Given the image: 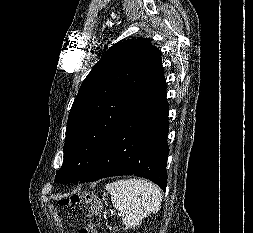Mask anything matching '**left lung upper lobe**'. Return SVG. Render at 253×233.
Returning <instances> with one entry per match:
<instances>
[{
	"label": "left lung upper lobe",
	"instance_id": "left-lung-upper-lobe-1",
	"mask_svg": "<svg viewBox=\"0 0 253 233\" xmlns=\"http://www.w3.org/2000/svg\"><path fill=\"white\" fill-rule=\"evenodd\" d=\"M163 74L160 51L148 38L128 39L110 48L87 75L73 102L63 165L55 182L83 178L121 119Z\"/></svg>",
	"mask_w": 253,
	"mask_h": 233
}]
</instances>
